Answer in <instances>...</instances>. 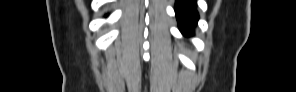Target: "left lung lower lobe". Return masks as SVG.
<instances>
[{"label":"left lung lower lobe","instance_id":"left-lung-lower-lobe-1","mask_svg":"<svg viewBox=\"0 0 296 92\" xmlns=\"http://www.w3.org/2000/svg\"><path fill=\"white\" fill-rule=\"evenodd\" d=\"M175 12L180 31L186 36L193 35L191 29L196 25L199 18L196 0H176Z\"/></svg>","mask_w":296,"mask_h":92}]
</instances>
